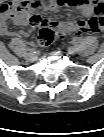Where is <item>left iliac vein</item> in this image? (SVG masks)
Wrapping results in <instances>:
<instances>
[{
    "label": "left iliac vein",
    "instance_id": "4c4485c4",
    "mask_svg": "<svg viewBox=\"0 0 104 137\" xmlns=\"http://www.w3.org/2000/svg\"><path fill=\"white\" fill-rule=\"evenodd\" d=\"M69 53H70L71 55H75V54L78 53V50H77L75 47H70V48H69Z\"/></svg>",
    "mask_w": 104,
    "mask_h": 137
}]
</instances>
